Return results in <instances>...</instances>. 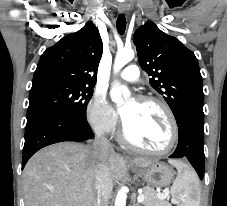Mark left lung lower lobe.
I'll return each instance as SVG.
<instances>
[{
	"label": "left lung lower lobe",
	"mask_w": 227,
	"mask_h": 206,
	"mask_svg": "<svg viewBox=\"0 0 227 206\" xmlns=\"http://www.w3.org/2000/svg\"><path fill=\"white\" fill-rule=\"evenodd\" d=\"M204 117L188 114L178 124V146L169 158H186L196 170L199 178L204 176Z\"/></svg>",
	"instance_id": "0a47b994"
}]
</instances>
